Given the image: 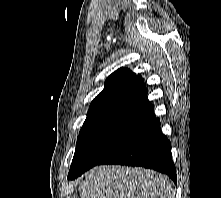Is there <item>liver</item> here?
<instances>
[{"mask_svg":"<svg viewBox=\"0 0 221 198\" xmlns=\"http://www.w3.org/2000/svg\"><path fill=\"white\" fill-rule=\"evenodd\" d=\"M81 198H175L167 176L139 167L96 166L79 182Z\"/></svg>","mask_w":221,"mask_h":198,"instance_id":"1","label":"liver"}]
</instances>
